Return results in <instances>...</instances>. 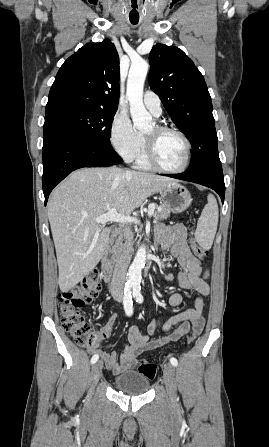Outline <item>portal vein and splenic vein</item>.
Instances as JSON below:
<instances>
[{
	"instance_id": "1",
	"label": "portal vein and splenic vein",
	"mask_w": 269,
	"mask_h": 447,
	"mask_svg": "<svg viewBox=\"0 0 269 447\" xmlns=\"http://www.w3.org/2000/svg\"><path fill=\"white\" fill-rule=\"evenodd\" d=\"M148 209V220L147 223H150L151 216H153V212L156 209V206L153 202H150L147 206ZM84 218H87V216H84ZM95 222L97 224H106V222H122V224H130V222H133V224H140V220H137V218H132V216H122V214H117V210L115 208H112V210H109L107 214H103V216H99V218H95Z\"/></svg>"
}]
</instances>
